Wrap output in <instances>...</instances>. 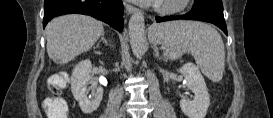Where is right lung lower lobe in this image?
I'll return each instance as SVG.
<instances>
[{"label": "right lung lower lobe", "instance_id": "right-lung-lower-lobe-1", "mask_svg": "<svg viewBox=\"0 0 273 118\" xmlns=\"http://www.w3.org/2000/svg\"><path fill=\"white\" fill-rule=\"evenodd\" d=\"M84 14L95 17L123 30V3L121 0H45L43 27L54 17L64 14Z\"/></svg>", "mask_w": 273, "mask_h": 118}]
</instances>
